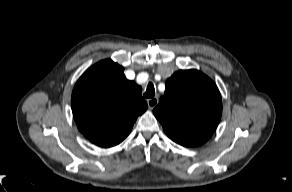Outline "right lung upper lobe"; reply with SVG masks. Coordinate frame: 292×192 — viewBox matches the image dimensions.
<instances>
[{"instance_id": "obj_1", "label": "right lung upper lobe", "mask_w": 292, "mask_h": 192, "mask_svg": "<svg viewBox=\"0 0 292 192\" xmlns=\"http://www.w3.org/2000/svg\"><path fill=\"white\" fill-rule=\"evenodd\" d=\"M71 106L79 131L104 148L122 142L147 109L141 87L127 80L124 68L110 59L93 65L79 78Z\"/></svg>"}]
</instances>
